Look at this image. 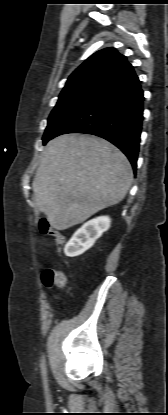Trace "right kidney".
<instances>
[{
	"instance_id": "ca27d5eb",
	"label": "right kidney",
	"mask_w": 168,
	"mask_h": 415,
	"mask_svg": "<svg viewBox=\"0 0 168 415\" xmlns=\"http://www.w3.org/2000/svg\"><path fill=\"white\" fill-rule=\"evenodd\" d=\"M110 224L111 220L108 216H100L83 224L65 245V255L75 257L83 254L110 228Z\"/></svg>"
}]
</instances>
